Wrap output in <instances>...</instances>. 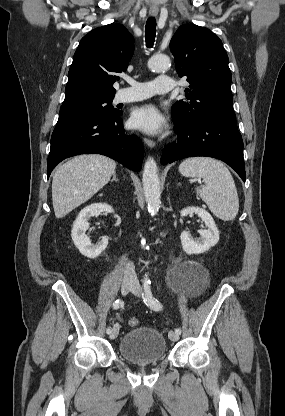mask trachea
Wrapping results in <instances>:
<instances>
[{
  "mask_svg": "<svg viewBox=\"0 0 285 416\" xmlns=\"http://www.w3.org/2000/svg\"><path fill=\"white\" fill-rule=\"evenodd\" d=\"M156 37V20L152 16L148 18L145 26V40L147 48H152Z\"/></svg>",
  "mask_w": 285,
  "mask_h": 416,
  "instance_id": "3493384b",
  "label": "trachea"
}]
</instances>
